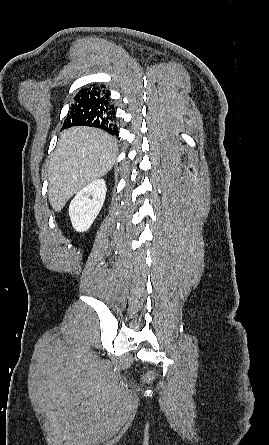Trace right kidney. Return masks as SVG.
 Listing matches in <instances>:
<instances>
[{"instance_id":"ca27d5eb","label":"right kidney","mask_w":269,"mask_h":445,"mask_svg":"<svg viewBox=\"0 0 269 445\" xmlns=\"http://www.w3.org/2000/svg\"><path fill=\"white\" fill-rule=\"evenodd\" d=\"M106 192L105 181L96 179L76 194L69 206V216L76 231L84 232L90 228L103 206Z\"/></svg>"}]
</instances>
